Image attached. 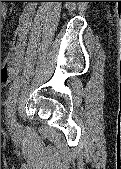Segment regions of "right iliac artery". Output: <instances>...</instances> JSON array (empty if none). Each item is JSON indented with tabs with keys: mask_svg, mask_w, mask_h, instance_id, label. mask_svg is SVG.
<instances>
[{
	"mask_svg": "<svg viewBox=\"0 0 121 169\" xmlns=\"http://www.w3.org/2000/svg\"><path fill=\"white\" fill-rule=\"evenodd\" d=\"M22 84V77L18 76L14 79V82L10 88L9 97L7 101V113L12 111L14 104L16 103V96Z\"/></svg>",
	"mask_w": 121,
	"mask_h": 169,
	"instance_id": "right-iliac-artery-1",
	"label": "right iliac artery"
}]
</instances>
